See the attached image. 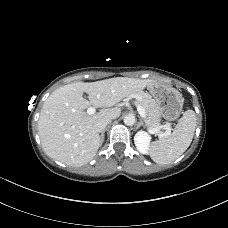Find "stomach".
<instances>
[{
  "label": "stomach",
  "instance_id": "obj_1",
  "mask_svg": "<svg viewBox=\"0 0 228 228\" xmlns=\"http://www.w3.org/2000/svg\"><path fill=\"white\" fill-rule=\"evenodd\" d=\"M147 90L149 93L145 95L155 103L160 116L167 121H174L179 117L184 99L178 90L159 83L148 85Z\"/></svg>",
  "mask_w": 228,
  "mask_h": 228
}]
</instances>
